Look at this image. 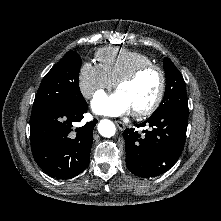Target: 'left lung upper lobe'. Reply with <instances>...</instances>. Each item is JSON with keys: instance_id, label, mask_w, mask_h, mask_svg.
I'll list each match as a JSON object with an SVG mask.
<instances>
[{"instance_id": "left-lung-upper-lobe-1", "label": "left lung upper lobe", "mask_w": 221, "mask_h": 221, "mask_svg": "<svg viewBox=\"0 0 221 221\" xmlns=\"http://www.w3.org/2000/svg\"><path fill=\"white\" fill-rule=\"evenodd\" d=\"M163 64L167 82L166 89L161 104L153 114L161 113L178 103L187 102L186 86L181 73L169 58L165 57Z\"/></svg>"}]
</instances>
